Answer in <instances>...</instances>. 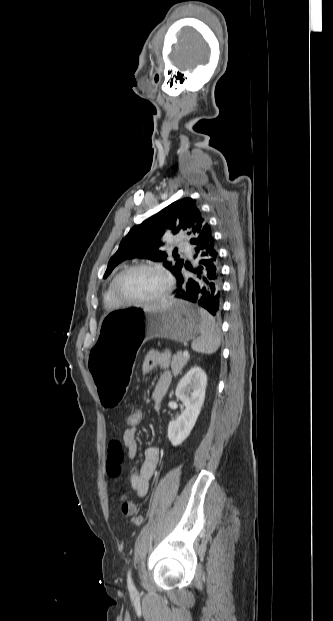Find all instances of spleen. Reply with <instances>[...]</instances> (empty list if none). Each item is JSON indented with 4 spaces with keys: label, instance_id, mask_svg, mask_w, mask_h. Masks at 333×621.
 I'll use <instances>...</instances> for the list:
<instances>
[{
    "label": "spleen",
    "instance_id": "obj_1",
    "mask_svg": "<svg viewBox=\"0 0 333 621\" xmlns=\"http://www.w3.org/2000/svg\"><path fill=\"white\" fill-rule=\"evenodd\" d=\"M201 317L200 336L192 342V349L201 354L215 353L221 344V332L214 317L199 309Z\"/></svg>",
    "mask_w": 333,
    "mask_h": 621
}]
</instances>
